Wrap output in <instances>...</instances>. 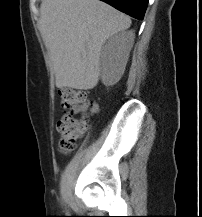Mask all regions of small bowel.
<instances>
[{"mask_svg":"<svg viewBox=\"0 0 202 217\" xmlns=\"http://www.w3.org/2000/svg\"><path fill=\"white\" fill-rule=\"evenodd\" d=\"M87 110L86 107H78L76 108V112H85ZM98 110V105L96 103L92 104V106L90 107V112L94 113Z\"/></svg>","mask_w":202,"mask_h":217,"instance_id":"obj_1","label":"small bowel"}]
</instances>
